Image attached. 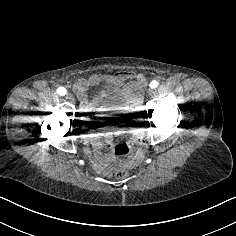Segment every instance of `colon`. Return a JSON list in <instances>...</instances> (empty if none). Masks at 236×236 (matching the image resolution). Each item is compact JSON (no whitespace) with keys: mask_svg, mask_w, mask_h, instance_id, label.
Wrapping results in <instances>:
<instances>
[{"mask_svg":"<svg viewBox=\"0 0 236 236\" xmlns=\"http://www.w3.org/2000/svg\"><path fill=\"white\" fill-rule=\"evenodd\" d=\"M115 176L118 179H125L129 176V173L127 170L121 168L115 172Z\"/></svg>","mask_w":236,"mask_h":236,"instance_id":"1","label":"colon"}]
</instances>
